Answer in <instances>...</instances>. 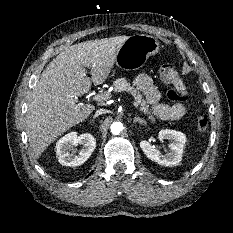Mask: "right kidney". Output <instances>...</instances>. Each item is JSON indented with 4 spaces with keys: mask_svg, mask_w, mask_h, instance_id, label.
<instances>
[{
    "mask_svg": "<svg viewBox=\"0 0 233 233\" xmlns=\"http://www.w3.org/2000/svg\"><path fill=\"white\" fill-rule=\"evenodd\" d=\"M81 145L79 150L73 149V146ZM96 147L95 138L84 133L77 135V132H71L60 138L56 143V155L58 161L64 166H79L83 164L92 154Z\"/></svg>",
    "mask_w": 233,
    "mask_h": 233,
    "instance_id": "ca27d5eb",
    "label": "right kidney"
}]
</instances>
